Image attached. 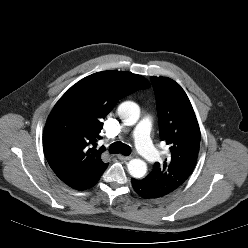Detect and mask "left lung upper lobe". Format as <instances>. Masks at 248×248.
Wrapping results in <instances>:
<instances>
[{"instance_id": "left-lung-upper-lobe-1", "label": "left lung upper lobe", "mask_w": 248, "mask_h": 248, "mask_svg": "<svg viewBox=\"0 0 248 248\" xmlns=\"http://www.w3.org/2000/svg\"><path fill=\"white\" fill-rule=\"evenodd\" d=\"M159 118V133L170 146V157L155 163L143 181L163 196L180 187L191 175L200 147V128L184 90L167 77H151Z\"/></svg>"}]
</instances>
